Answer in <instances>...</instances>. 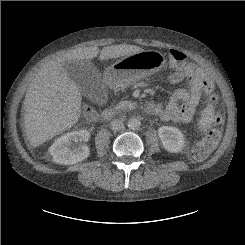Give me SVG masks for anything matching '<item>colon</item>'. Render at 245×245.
Wrapping results in <instances>:
<instances>
[{
	"mask_svg": "<svg viewBox=\"0 0 245 245\" xmlns=\"http://www.w3.org/2000/svg\"><path fill=\"white\" fill-rule=\"evenodd\" d=\"M169 59L175 65H183L187 60V55L180 50H170ZM201 86L207 95V101L211 105L218 103V96L214 91L212 81L207 76L200 79ZM95 117V110L91 106H87L83 112L84 122H88ZM222 116L215 113L212 118V128L207 134L197 140L191 149V157L195 160L204 159L212 150L215 149L221 136Z\"/></svg>",
	"mask_w": 245,
	"mask_h": 245,
	"instance_id": "5ec220e1",
	"label": "colon"
}]
</instances>
